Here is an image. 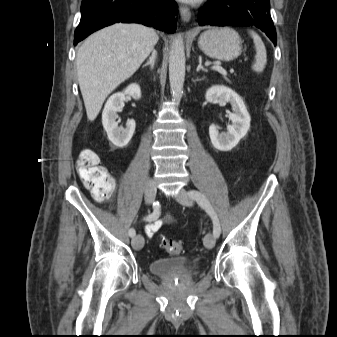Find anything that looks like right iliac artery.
<instances>
[{"instance_id":"right-iliac-artery-1","label":"right iliac artery","mask_w":337,"mask_h":337,"mask_svg":"<svg viewBox=\"0 0 337 337\" xmlns=\"http://www.w3.org/2000/svg\"><path fill=\"white\" fill-rule=\"evenodd\" d=\"M159 208H160L159 202L158 201L153 202V212L151 214L147 215L146 217H144V220L149 221V222L156 220L160 215V209ZM135 235H136L135 229L131 228L129 230V236L134 237Z\"/></svg>"}]
</instances>
